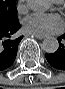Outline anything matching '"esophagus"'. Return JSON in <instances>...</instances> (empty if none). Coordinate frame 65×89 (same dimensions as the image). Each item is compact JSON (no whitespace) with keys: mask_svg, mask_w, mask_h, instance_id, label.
Returning a JSON list of instances; mask_svg holds the SVG:
<instances>
[{"mask_svg":"<svg viewBox=\"0 0 65 89\" xmlns=\"http://www.w3.org/2000/svg\"><path fill=\"white\" fill-rule=\"evenodd\" d=\"M38 39H44L46 36L45 35H37V34H32Z\"/></svg>","mask_w":65,"mask_h":89,"instance_id":"obj_1","label":"esophagus"}]
</instances>
